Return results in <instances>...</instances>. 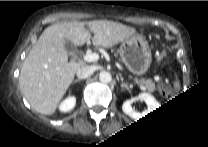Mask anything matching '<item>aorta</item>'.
Listing matches in <instances>:
<instances>
[{
	"mask_svg": "<svg viewBox=\"0 0 208 147\" xmlns=\"http://www.w3.org/2000/svg\"><path fill=\"white\" fill-rule=\"evenodd\" d=\"M99 80L103 84H109L112 82V76L108 72H103V73H101Z\"/></svg>",
	"mask_w": 208,
	"mask_h": 147,
	"instance_id": "762f6f07",
	"label": "aorta"
}]
</instances>
